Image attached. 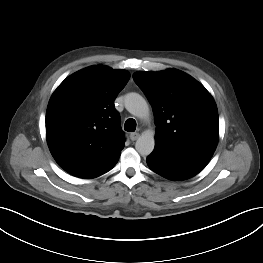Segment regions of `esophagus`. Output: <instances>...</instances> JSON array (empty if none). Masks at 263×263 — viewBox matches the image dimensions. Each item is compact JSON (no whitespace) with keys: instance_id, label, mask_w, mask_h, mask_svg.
Segmentation results:
<instances>
[{"instance_id":"1","label":"esophagus","mask_w":263,"mask_h":263,"mask_svg":"<svg viewBox=\"0 0 263 263\" xmlns=\"http://www.w3.org/2000/svg\"><path fill=\"white\" fill-rule=\"evenodd\" d=\"M138 138H139V133L134 132V133H131V134H130V139H131L132 141H135V140H137Z\"/></svg>"}]
</instances>
